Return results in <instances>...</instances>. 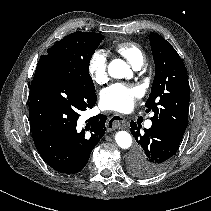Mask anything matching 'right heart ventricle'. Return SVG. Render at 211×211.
<instances>
[{"instance_id":"1","label":"right heart ventricle","mask_w":211,"mask_h":211,"mask_svg":"<svg viewBox=\"0 0 211 211\" xmlns=\"http://www.w3.org/2000/svg\"><path fill=\"white\" fill-rule=\"evenodd\" d=\"M115 51L126 58L133 67L141 66L144 63V51L133 42L118 43L115 46Z\"/></svg>"}]
</instances>
